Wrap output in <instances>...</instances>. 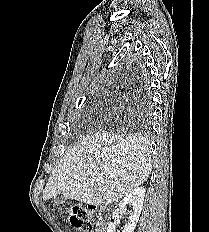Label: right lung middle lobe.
I'll return each instance as SVG.
<instances>
[{
    "mask_svg": "<svg viewBox=\"0 0 209 232\" xmlns=\"http://www.w3.org/2000/svg\"><path fill=\"white\" fill-rule=\"evenodd\" d=\"M138 109H139V113L136 115L135 121L140 127L148 130L150 127L149 118H150L151 104H150V96L147 90L144 91V97L142 98V101H140L138 105Z\"/></svg>",
    "mask_w": 209,
    "mask_h": 232,
    "instance_id": "right-lung-middle-lobe-1",
    "label": "right lung middle lobe"
}]
</instances>
